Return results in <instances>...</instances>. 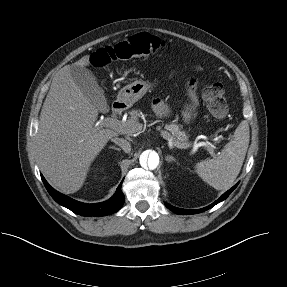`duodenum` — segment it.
Here are the masks:
<instances>
[{
    "label": "duodenum",
    "instance_id": "1",
    "mask_svg": "<svg viewBox=\"0 0 287 287\" xmlns=\"http://www.w3.org/2000/svg\"><path fill=\"white\" fill-rule=\"evenodd\" d=\"M126 105L122 100H116L112 104V112L113 114H120L124 109Z\"/></svg>",
    "mask_w": 287,
    "mask_h": 287
}]
</instances>
